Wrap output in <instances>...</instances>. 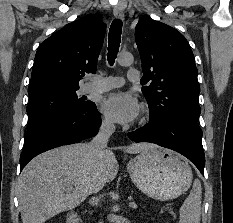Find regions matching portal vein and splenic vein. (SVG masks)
<instances>
[{
    "instance_id": "obj_1",
    "label": "portal vein and splenic vein",
    "mask_w": 233,
    "mask_h": 223,
    "mask_svg": "<svg viewBox=\"0 0 233 223\" xmlns=\"http://www.w3.org/2000/svg\"><path fill=\"white\" fill-rule=\"evenodd\" d=\"M130 205L131 207H137L136 203H134V201H130Z\"/></svg>"
}]
</instances>
